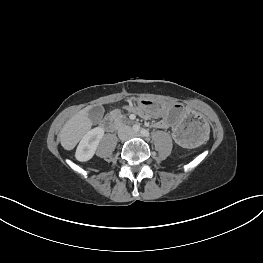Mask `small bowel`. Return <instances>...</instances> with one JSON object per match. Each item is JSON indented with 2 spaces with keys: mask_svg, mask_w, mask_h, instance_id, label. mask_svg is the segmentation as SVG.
<instances>
[{
  "mask_svg": "<svg viewBox=\"0 0 263 263\" xmlns=\"http://www.w3.org/2000/svg\"><path fill=\"white\" fill-rule=\"evenodd\" d=\"M128 110L136 113L138 116L144 119H149L152 117V114L146 113L142 107L134 108V107H129ZM155 127L159 129H170L167 126L162 125L159 121L155 123ZM172 131V130H171ZM172 136H173V131H172ZM174 138V137H173ZM175 140V139H174ZM176 141V140H175ZM177 142V141H176ZM179 143V142H177Z\"/></svg>",
  "mask_w": 263,
  "mask_h": 263,
  "instance_id": "1",
  "label": "small bowel"
}]
</instances>
